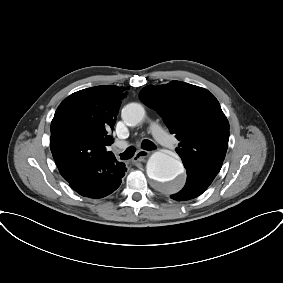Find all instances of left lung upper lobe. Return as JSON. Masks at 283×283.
I'll list each match as a JSON object with an SVG mask.
<instances>
[{
	"mask_svg": "<svg viewBox=\"0 0 283 283\" xmlns=\"http://www.w3.org/2000/svg\"><path fill=\"white\" fill-rule=\"evenodd\" d=\"M140 99L155 109L180 141L176 152L187 172L214 179L228 147L229 123L206 89L180 81L149 85Z\"/></svg>",
	"mask_w": 283,
	"mask_h": 283,
	"instance_id": "obj_1",
	"label": "left lung upper lobe"
}]
</instances>
